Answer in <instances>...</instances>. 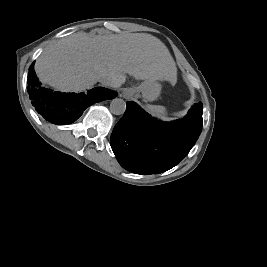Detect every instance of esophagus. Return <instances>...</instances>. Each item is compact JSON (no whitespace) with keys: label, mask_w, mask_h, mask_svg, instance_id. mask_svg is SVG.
<instances>
[{"label":"esophagus","mask_w":267,"mask_h":267,"mask_svg":"<svg viewBox=\"0 0 267 267\" xmlns=\"http://www.w3.org/2000/svg\"><path fill=\"white\" fill-rule=\"evenodd\" d=\"M122 94H123V97H124L125 99H129V98L132 97L133 92H132L131 89H125V90L122 92Z\"/></svg>","instance_id":"34e87169"}]
</instances>
